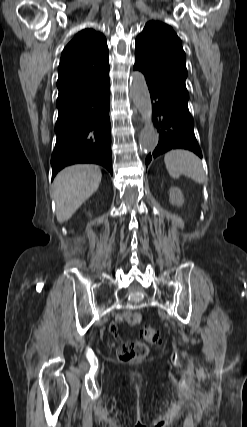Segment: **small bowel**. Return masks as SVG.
Listing matches in <instances>:
<instances>
[{"mask_svg": "<svg viewBox=\"0 0 247 427\" xmlns=\"http://www.w3.org/2000/svg\"><path fill=\"white\" fill-rule=\"evenodd\" d=\"M141 320V314L137 312L124 311L115 316L114 322L109 325V332L118 340H120L118 332V324L127 323L136 325Z\"/></svg>", "mask_w": 247, "mask_h": 427, "instance_id": "small-bowel-1", "label": "small bowel"}]
</instances>
